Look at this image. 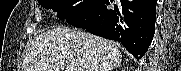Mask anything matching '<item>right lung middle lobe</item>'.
I'll return each mask as SVG.
<instances>
[{"label":"right lung middle lobe","instance_id":"obj_1","mask_svg":"<svg viewBox=\"0 0 181 71\" xmlns=\"http://www.w3.org/2000/svg\"><path fill=\"white\" fill-rule=\"evenodd\" d=\"M97 0H40L41 6L57 12L60 19H67L89 9Z\"/></svg>","mask_w":181,"mask_h":71}]
</instances>
